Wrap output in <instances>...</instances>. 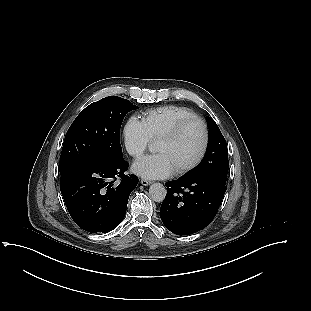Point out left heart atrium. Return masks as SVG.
Segmentation results:
<instances>
[{
	"label": "left heart atrium",
	"mask_w": 311,
	"mask_h": 311,
	"mask_svg": "<svg viewBox=\"0 0 311 311\" xmlns=\"http://www.w3.org/2000/svg\"><path fill=\"white\" fill-rule=\"evenodd\" d=\"M132 170L146 179H161L170 176L174 169L164 153L145 156L135 162Z\"/></svg>",
	"instance_id": "left-heart-atrium-1"
}]
</instances>
